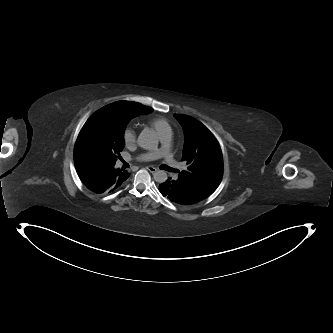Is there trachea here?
Masks as SVG:
<instances>
[{
  "label": "trachea",
  "instance_id": "1",
  "mask_svg": "<svg viewBox=\"0 0 333 333\" xmlns=\"http://www.w3.org/2000/svg\"><path fill=\"white\" fill-rule=\"evenodd\" d=\"M167 170H171L169 167L166 168Z\"/></svg>",
  "mask_w": 333,
  "mask_h": 333
}]
</instances>
